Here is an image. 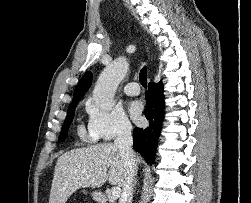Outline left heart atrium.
Masks as SVG:
<instances>
[{
	"instance_id": "obj_1",
	"label": "left heart atrium",
	"mask_w": 251,
	"mask_h": 203,
	"mask_svg": "<svg viewBox=\"0 0 251 203\" xmlns=\"http://www.w3.org/2000/svg\"><path fill=\"white\" fill-rule=\"evenodd\" d=\"M130 111H131V114H132L133 118L136 121L141 120V112H142L141 102H139V101L132 102L131 105H130Z\"/></svg>"
}]
</instances>
